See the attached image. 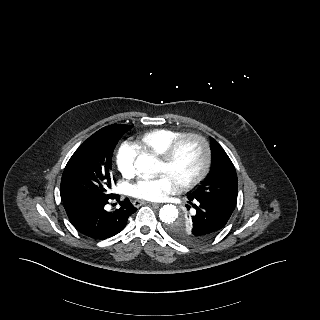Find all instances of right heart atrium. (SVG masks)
I'll list each match as a JSON object with an SVG mask.
<instances>
[{
    "mask_svg": "<svg viewBox=\"0 0 320 320\" xmlns=\"http://www.w3.org/2000/svg\"><path fill=\"white\" fill-rule=\"evenodd\" d=\"M136 147L129 141L123 142L116 154V165L124 177H130L135 173Z\"/></svg>",
    "mask_w": 320,
    "mask_h": 320,
    "instance_id": "d8ad5b80",
    "label": "right heart atrium"
}]
</instances>
